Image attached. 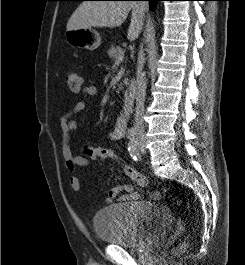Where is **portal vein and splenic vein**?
I'll return each mask as SVG.
<instances>
[{"label": "portal vein and splenic vein", "instance_id": "portal-vein-and-splenic-vein-1", "mask_svg": "<svg viewBox=\"0 0 245 265\" xmlns=\"http://www.w3.org/2000/svg\"><path fill=\"white\" fill-rule=\"evenodd\" d=\"M124 59V53L119 54L118 57L115 60V63H121Z\"/></svg>", "mask_w": 245, "mask_h": 265}]
</instances>
